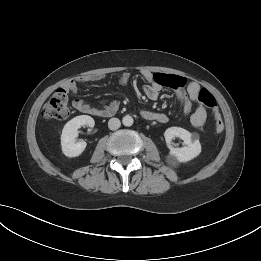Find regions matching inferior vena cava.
<instances>
[{"label": "inferior vena cava", "instance_id": "1", "mask_svg": "<svg viewBox=\"0 0 261 261\" xmlns=\"http://www.w3.org/2000/svg\"><path fill=\"white\" fill-rule=\"evenodd\" d=\"M121 123L118 118H111L108 122V127L110 130H116L120 127Z\"/></svg>", "mask_w": 261, "mask_h": 261}]
</instances>
